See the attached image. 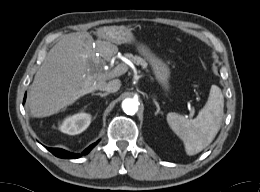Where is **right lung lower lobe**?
Listing matches in <instances>:
<instances>
[{"label": "right lung lower lobe", "mask_w": 260, "mask_h": 192, "mask_svg": "<svg viewBox=\"0 0 260 192\" xmlns=\"http://www.w3.org/2000/svg\"><path fill=\"white\" fill-rule=\"evenodd\" d=\"M24 101H25V97H24ZM99 141L93 143L92 145H90L88 148H86L82 155H86L88 154L93 147L98 143ZM52 154H54L55 156L59 157V158H65V159H73V158H79L80 154H72L66 150L60 149V148H47Z\"/></svg>", "instance_id": "1"}]
</instances>
